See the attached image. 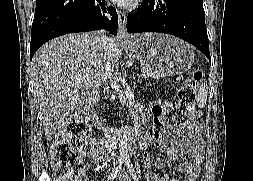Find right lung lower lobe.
<instances>
[{
	"label": "right lung lower lobe",
	"mask_w": 253,
	"mask_h": 181,
	"mask_svg": "<svg viewBox=\"0 0 253 181\" xmlns=\"http://www.w3.org/2000/svg\"><path fill=\"white\" fill-rule=\"evenodd\" d=\"M111 20L103 17L106 12L99 0H37L31 31L30 59L37 49L50 39L81 31L106 29L117 35L118 15L107 7Z\"/></svg>",
	"instance_id": "right-lung-lower-lobe-1"
}]
</instances>
